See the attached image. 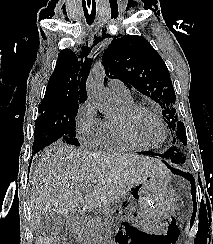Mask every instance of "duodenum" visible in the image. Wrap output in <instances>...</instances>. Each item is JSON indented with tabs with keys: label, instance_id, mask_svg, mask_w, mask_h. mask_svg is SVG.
I'll return each instance as SVG.
<instances>
[{
	"label": "duodenum",
	"instance_id": "obj_1",
	"mask_svg": "<svg viewBox=\"0 0 213 244\" xmlns=\"http://www.w3.org/2000/svg\"><path fill=\"white\" fill-rule=\"evenodd\" d=\"M70 219L72 222L76 223L78 221V218L75 215H71Z\"/></svg>",
	"mask_w": 213,
	"mask_h": 244
}]
</instances>
